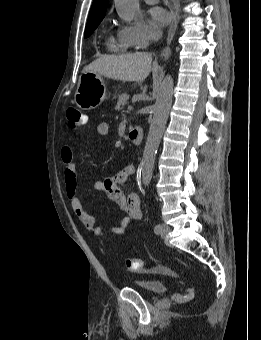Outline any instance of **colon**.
<instances>
[{"label":"colon","mask_w":261,"mask_h":340,"mask_svg":"<svg viewBox=\"0 0 261 340\" xmlns=\"http://www.w3.org/2000/svg\"><path fill=\"white\" fill-rule=\"evenodd\" d=\"M67 123L71 130H78L81 128L86 120L83 113L76 107H70L66 112ZM143 262L139 258L126 259V267L131 271H138L142 268Z\"/></svg>","instance_id":"obj_1"}]
</instances>
